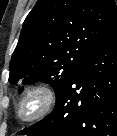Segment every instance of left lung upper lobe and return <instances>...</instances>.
<instances>
[{
	"label": "left lung upper lobe",
	"instance_id": "obj_1",
	"mask_svg": "<svg viewBox=\"0 0 117 136\" xmlns=\"http://www.w3.org/2000/svg\"><path fill=\"white\" fill-rule=\"evenodd\" d=\"M116 24L114 0H38L23 23L10 61L9 82L42 81L59 93Z\"/></svg>",
	"mask_w": 117,
	"mask_h": 136
}]
</instances>
